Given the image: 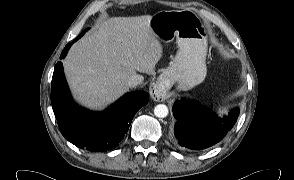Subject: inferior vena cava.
I'll use <instances>...</instances> for the list:
<instances>
[{
  "label": "inferior vena cava",
  "mask_w": 294,
  "mask_h": 180,
  "mask_svg": "<svg viewBox=\"0 0 294 180\" xmlns=\"http://www.w3.org/2000/svg\"><path fill=\"white\" fill-rule=\"evenodd\" d=\"M144 81V77L140 74H134L132 75L128 81H127V85L130 87V88H134L138 85H141Z\"/></svg>",
  "instance_id": "1"
}]
</instances>
